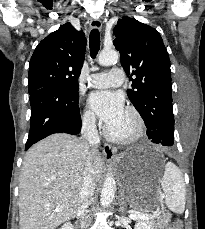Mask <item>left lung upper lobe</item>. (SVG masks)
<instances>
[{
	"mask_svg": "<svg viewBox=\"0 0 205 229\" xmlns=\"http://www.w3.org/2000/svg\"><path fill=\"white\" fill-rule=\"evenodd\" d=\"M114 34L113 44L120 52L121 65L128 76L135 77H130L133 89L127 90V95L145 121L147 136L160 128L165 137L159 143L172 146L174 115L170 60L160 34L126 16L118 20Z\"/></svg>",
	"mask_w": 205,
	"mask_h": 229,
	"instance_id": "obj_1",
	"label": "left lung upper lobe"
}]
</instances>
